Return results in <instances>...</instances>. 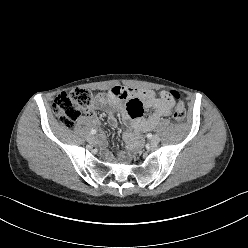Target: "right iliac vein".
Masks as SVG:
<instances>
[{
    "instance_id": "1",
    "label": "right iliac vein",
    "mask_w": 248,
    "mask_h": 248,
    "mask_svg": "<svg viewBox=\"0 0 248 248\" xmlns=\"http://www.w3.org/2000/svg\"><path fill=\"white\" fill-rule=\"evenodd\" d=\"M95 140H96V138H95L93 135H88V136H87V141H88L89 143H94Z\"/></svg>"
}]
</instances>
